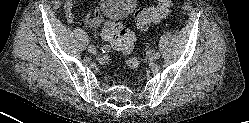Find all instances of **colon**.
Returning a JSON list of instances; mask_svg holds the SVG:
<instances>
[{
  "label": "colon",
  "mask_w": 249,
  "mask_h": 123,
  "mask_svg": "<svg viewBox=\"0 0 249 123\" xmlns=\"http://www.w3.org/2000/svg\"><path fill=\"white\" fill-rule=\"evenodd\" d=\"M173 3L174 0H158L155 6L137 10L134 15L136 26L141 30H146L151 24L161 21L170 13ZM102 35L115 50L127 56L133 51L135 37L130 30L121 25L112 22L106 23ZM128 65L131 68H135L137 66L136 58L129 57Z\"/></svg>",
  "instance_id": "colon-1"
}]
</instances>
